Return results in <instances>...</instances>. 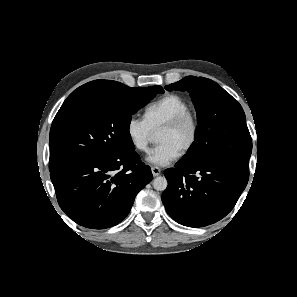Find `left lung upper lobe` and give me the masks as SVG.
Masks as SVG:
<instances>
[{
    "label": "left lung upper lobe",
    "mask_w": 297,
    "mask_h": 297,
    "mask_svg": "<svg viewBox=\"0 0 297 297\" xmlns=\"http://www.w3.org/2000/svg\"><path fill=\"white\" fill-rule=\"evenodd\" d=\"M165 89L189 92L197 112L195 141L179 162L218 161L249 171L251 136L241 105L228 92L210 79L195 76H187Z\"/></svg>",
    "instance_id": "left-lung-upper-lobe-1"
}]
</instances>
